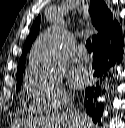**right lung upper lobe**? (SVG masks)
<instances>
[{"instance_id": "1", "label": "right lung upper lobe", "mask_w": 125, "mask_h": 128, "mask_svg": "<svg viewBox=\"0 0 125 128\" xmlns=\"http://www.w3.org/2000/svg\"><path fill=\"white\" fill-rule=\"evenodd\" d=\"M89 11L92 19V24L98 30V34L92 37V42H94L97 38H99L105 32L110 30L118 22L116 20L112 21V14L108 10L103 0H91ZM39 28H40V16H38V18L33 23L30 29V34L27 37L26 42L24 44L22 56L19 60L17 74L24 70L26 54L28 50L31 48V45L37 36Z\"/></svg>"}]
</instances>
